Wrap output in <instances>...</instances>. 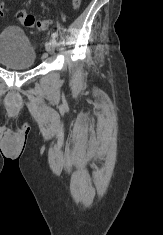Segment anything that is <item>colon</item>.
<instances>
[{"label":"colon","mask_w":163,"mask_h":235,"mask_svg":"<svg viewBox=\"0 0 163 235\" xmlns=\"http://www.w3.org/2000/svg\"><path fill=\"white\" fill-rule=\"evenodd\" d=\"M71 5L74 10L79 9L81 5V0H71ZM5 9L2 4H0V17L4 15ZM18 20L26 27L37 28L41 30H46L51 24L50 20H41L36 18L34 15L28 13L25 10H19L17 12Z\"/></svg>","instance_id":"5ec220e1"}]
</instances>
